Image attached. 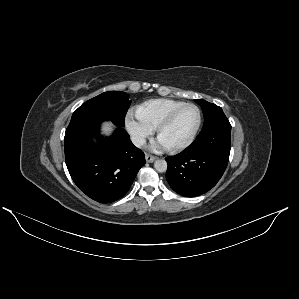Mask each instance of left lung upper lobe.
<instances>
[{
  "mask_svg": "<svg viewBox=\"0 0 299 299\" xmlns=\"http://www.w3.org/2000/svg\"><path fill=\"white\" fill-rule=\"evenodd\" d=\"M195 102L198 103L203 110L205 120L204 127L216 121L228 120L221 107L203 99H196Z\"/></svg>",
  "mask_w": 299,
  "mask_h": 299,
  "instance_id": "5c2ea615",
  "label": "left lung upper lobe"
}]
</instances>
